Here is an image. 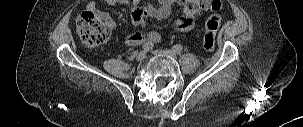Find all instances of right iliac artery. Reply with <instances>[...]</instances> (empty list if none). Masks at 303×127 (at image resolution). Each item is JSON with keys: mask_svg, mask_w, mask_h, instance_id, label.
<instances>
[{"mask_svg": "<svg viewBox=\"0 0 303 127\" xmlns=\"http://www.w3.org/2000/svg\"><path fill=\"white\" fill-rule=\"evenodd\" d=\"M142 49L145 51V52H148V51H150V50H152L153 49V44L152 43H145V44H143V46H142Z\"/></svg>", "mask_w": 303, "mask_h": 127, "instance_id": "obj_1", "label": "right iliac artery"}]
</instances>
